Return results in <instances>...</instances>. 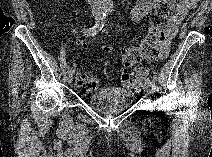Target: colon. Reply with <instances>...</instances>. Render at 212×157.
<instances>
[{
	"label": "colon",
	"instance_id": "obj_1",
	"mask_svg": "<svg viewBox=\"0 0 212 157\" xmlns=\"http://www.w3.org/2000/svg\"><path fill=\"white\" fill-rule=\"evenodd\" d=\"M175 5L176 0H158L156 2L153 11L148 16L150 28L145 38L138 45L122 51V64L125 68L122 72V80L135 79L142 72V67H138L131 76L128 73V68L141 65L145 61L160 55V44L164 37H168L163 27ZM105 50L110 52L112 49L106 47ZM97 85L98 80L95 76L82 71L77 73L76 88L80 92L93 91L97 88Z\"/></svg>",
	"mask_w": 212,
	"mask_h": 157
}]
</instances>
